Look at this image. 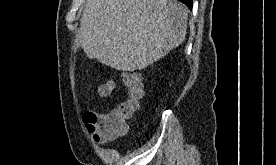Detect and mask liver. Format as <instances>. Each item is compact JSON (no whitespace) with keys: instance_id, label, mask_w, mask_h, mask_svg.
<instances>
[{"instance_id":"6515ba94","label":"liver","mask_w":276,"mask_h":165,"mask_svg":"<svg viewBox=\"0 0 276 165\" xmlns=\"http://www.w3.org/2000/svg\"><path fill=\"white\" fill-rule=\"evenodd\" d=\"M188 12L176 0H87L78 38L90 59L142 70L182 44Z\"/></svg>"}]
</instances>
